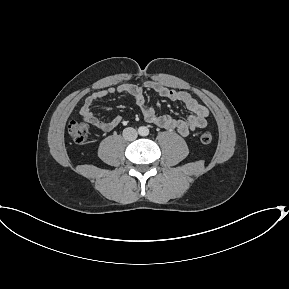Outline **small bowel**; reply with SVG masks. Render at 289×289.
<instances>
[{"mask_svg": "<svg viewBox=\"0 0 289 289\" xmlns=\"http://www.w3.org/2000/svg\"><path fill=\"white\" fill-rule=\"evenodd\" d=\"M144 88L154 91L162 98H167L183 105L189 111L186 119L179 120L168 114H158L155 108L147 105ZM115 93H127L132 96L145 121L167 130H175L182 136H187L191 132L204 128L207 125L209 110L206 106L200 104L185 91L171 89L157 82H147L144 87L125 82L117 87L95 91L85 99L84 105L80 109L81 116L102 131L109 132L113 130L117 125L122 123V116L116 115L111 121H104L93 113L91 107L98 100Z\"/></svg>", "mask_w": 289, "mask_h": 289, "instance_id": "1", "label": "small bowel"}]
</instances>
